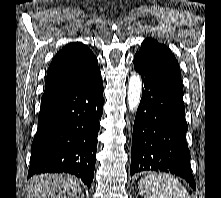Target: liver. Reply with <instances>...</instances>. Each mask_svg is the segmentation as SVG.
Here are the masks:
<instances>
[{
    "label": "liver",
    "mask_w": 221,
    "mask_h": 198,
    "mask_svg": "<svg viewBox=\"0 0 221 198\" xmlns=\"http://www.w3.org/2000/svg\"><path fill=\"white\" fill-rule=\"evenodd\" d=\"M27 198H80V182L68 174L34 176L26 188Z\"/></svg>",
    "instance_id": "6515ba94"
}]
</instances>
